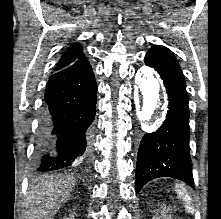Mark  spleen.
<instances>
[{
    "label": "spleen",
    "mask_w": 221,
    "mask_h": 219,
    "mask_svg": "<svg viewBox=\"0 0 221 219\" xmlns=\"http://www.w3.org/2000/svg\"><path fill=\"white\" fill-rule=\"evenodd\" d=\"M177 191L182 195L183 201L185 202V208L189 213L194 212V208L192 206V198L186 192V189L182 185H176Z\"/></svg>",
    "instance_id": "1"
}]
</instances>
